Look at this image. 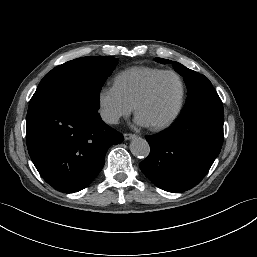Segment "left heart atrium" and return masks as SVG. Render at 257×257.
I'll list each match as a JSON object with an SVG mask.
<instances>
[{"mask_svg": "<svg viewBox=\"0 0 257 257\" xmlns=\"http://www.w3.org/2000/svg\"><path fill=\"white\" fill-rule=\"evenodd\" d=\"M136 123L138 125H140V126H148V125H150L148 123V121L143 116H141L140 114H137V116H136Z\"/></svg>", "mask_w": 257, "mask_h": 257, "instance_id": "left-heart-atrium-1", "label": "left heart atrium"}]
</instances>
